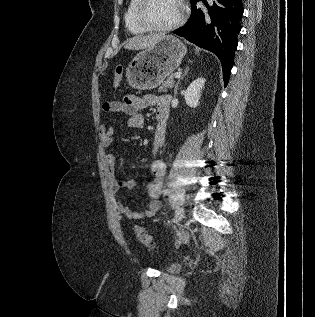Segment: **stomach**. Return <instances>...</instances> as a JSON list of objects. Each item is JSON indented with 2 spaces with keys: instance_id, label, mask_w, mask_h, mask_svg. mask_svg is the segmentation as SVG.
Segmentation results:
<instances>
[{
  "instance_id": "0dacf381",
  "label": "stomach",
  "mask_w": 315,
  "mask_h": 317,
  "mask_svg": "<svg viewBox=\"0 0 315 317\" xmlns=\"http://www.w3.org/2000/svg\"><path fill=\"white\" fill-rule=\"evenodd\" d=\"M186 53L180 39L164 36L132 59L126 71L128 84L138 90L158 87L180 65Z\"/></svg>"
}]
</instances>
